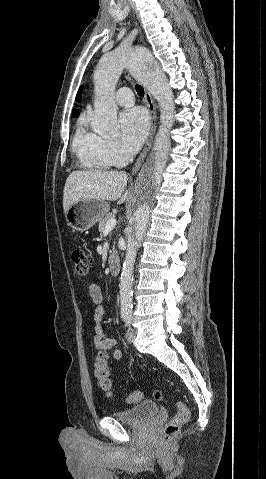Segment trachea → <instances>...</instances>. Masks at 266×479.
<instances>
[{
  "instance_id": "trachea-1",
  "label": "trachea",
  "mask_w": 266,
  "mask_h": 479,
  "mask_svg": "<svg viewBox=\"0 0 266 479\" xmlns=\"http://www.w3.org/2000/svg\"><path fill=\"white\" fill-rule=\"evenodd\" d=\"M135 88L139 96H144V89L141 85H136Z\"/></svg>"
}]
</instances>
